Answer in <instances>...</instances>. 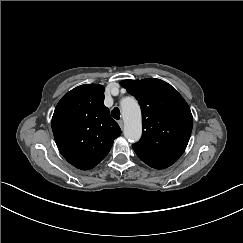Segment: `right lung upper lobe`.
<instances>
[{"mask_svg":"<svg viewBox=\"0 0 243 243\" xmlns=\"http://www.w3.org/2000/svg\"><path fill=\"white\" fill-rule=\"evenodd\" d=\"M104 87L85 84L66 93L57 104L52 130L63 157L81 170H89L110 151L121 130L104 106Z\"/></svg>","mask_w":243,"mask_h":243,"instance_id":"1","label":"right lung upper lobe"}]
</instances>
